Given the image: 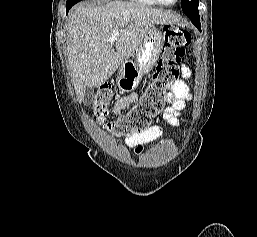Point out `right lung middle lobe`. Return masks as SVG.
I'll return each mask as SVG.
<instances>
[{
    "instance_id": "dd1d6c3e",
    "label": "right lung middle lobe",
    "mask_w": 257,
    "mask_h": 237,
    "mask_svg": "<svg viewBox=\"0 0 257 237\" xmlns=\"http://www.w3.org/2000/svg\"><path fill=\"white\" fill-rule=\"evenodd\" d=\"M81 0H67L66 2V8L72 7L74 4L78 3Z\"/></svg>"
}]
</instances>
